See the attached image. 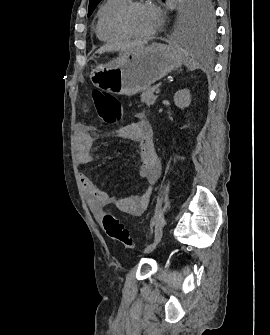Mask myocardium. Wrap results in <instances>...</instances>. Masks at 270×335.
I'll use <instances>...</instances> for the list:
<instances>
[{"mask_svg": "<svg viewBox=\"0 0 270 335\" xmlns=\"http://www.w3.org/2000/svg\"><path fill=\"white\" fill-rule=\"evenodd\" d=\"M140 7L139 2H128L127 5L120 8L115 16V25L118 31L129 38H142L144 35H137L130 31L127 26V17L131 10Z\"/></svg>", "mask_w": 270, "mask_h": 335, "instance_id": "obj_1", "label": "myocardium"}]
</instances>
